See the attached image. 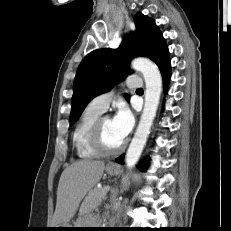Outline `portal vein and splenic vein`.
Wrapping results in <instances>:
<instances>
[{"label":"portal vein and splenic vein","mask_w":231,"mask_h":231,"mask_svg":"<svg viewBox=\"0 0 231 231\" xmlns=\"http://www.w3.org/2000/svg\"><path fill=\"white\" fill-rule=\"evenodd\" d=\"M104 189H105V191L107 192V191L110 189V187H109V186H106Z\"/></svg>","instance_id":"1"}]
</instances>
